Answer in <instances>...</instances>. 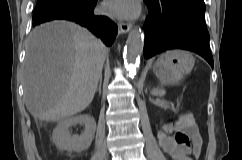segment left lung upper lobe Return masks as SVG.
I'll use <instances>...</instances> for the list:
<instances>
[{
	"instance_id": "5c2ea615",
	"label": "left lung upper lobe",
	"mask_w": 242,
	"mask_h": 160,
	"mask_svg": "<svg viewBox=\"0 0 242 160\" xmlns=\"http://www.w3.org/2000/svg\"><path fill=\"white\" fill-rule=\"evenodd\" d=\"M170 10L191 9L205 13L204 0H151Z\"/></svg>"
}]
</instances>
